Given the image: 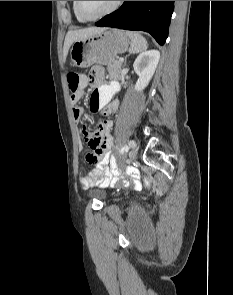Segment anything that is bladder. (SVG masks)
Listing matches in <instances>:
<instances>
[{
  "mask_svg": "<svg viewBox=\"0 0 233 295\" xmlns=\"http://www.w3.org/2000/svg\"><path fill=\"white\" fill-rule=\"evenodd\" d=\"M89 195L99 199L105 198V193L101 189H93L89 192Z\"/></svg>",
  "mask_w": 233,
  "mask_h": 295,
  "instance_id": "31cf9c89",
  "label": "bladder"
}]
</instances>
